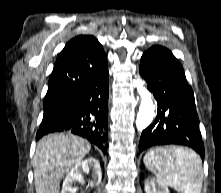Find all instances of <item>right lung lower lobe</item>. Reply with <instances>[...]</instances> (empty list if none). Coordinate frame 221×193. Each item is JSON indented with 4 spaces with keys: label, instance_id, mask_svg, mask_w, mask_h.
I'll return each mask as SVG.
<instances>
[{
    "label": "right lung lower lobe",
    "instance_id": "right-lung-lower-lobe-1",
    "mask_svg": "<svg viewBox=\"0 0 221 193\" xmlns=\"http://www.w3.org/2000/svg\"><path fill=\"white\" fill-rule=\"evenodd\" d=\"M108 96L106 60L71 96L66 111L48 121H42L36 140L48 133L66 131L88 139L106 154Z\"/></svg>",
    "mask_w": 221,
    "mask_h": 193
}]
</instances>
